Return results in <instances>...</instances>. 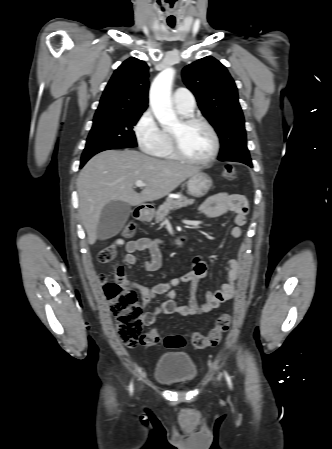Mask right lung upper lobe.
<instances>
[{
	"label": "right lung upper lobe",
	"mask_w": 332,
	"mask_h": 449,
	"mask_svg": "<svg viewBox=\"0 0 332 449\" xmlns=\"http://www.w3.org/2000/svg\"><path fill=\"white\" fill-rule=\"evenodd\" d=\"M148 66L131 57L124 61L108 82L95 115L144 112L148 106Z\"/></svg>",
	"instance_id": "right-lung-upper-lobe-1"
}]
</instances>
